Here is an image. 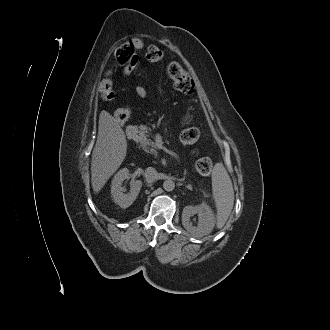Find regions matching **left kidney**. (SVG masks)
I'll return each mask as SVG.
<instances>
[{
  "label": "left kidney",
  "instance_id": "left-kidney-1",
  "mask_svg": "<svg viewBox=\"0 0 330 330\" xmlns=\"http://www.w3.org/2000/svg\"><path fill=\"white\" fill-rule=\"evenodd\" d=\"M198 214V225L193 226L190 217ZM182 225L193 236L201 238L211 233L215 225V216L212 209L205 203L197 206H186L182 211Z\"/></svg>",
  "mask_w": 330,
  "mask_h": 330
}]
</instances>
